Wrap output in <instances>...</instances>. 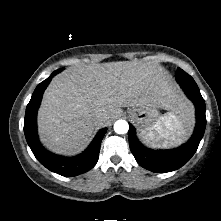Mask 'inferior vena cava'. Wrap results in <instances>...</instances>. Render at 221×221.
I'll list each match as a JSON object with an SVG mask.
<instances>
[{
	"label": "inferior vena cava",
	"instance_id": "602c4592",
	"mask_svg": "<svg viewBox=\"0 0 221 221\" xmlns=\"http://www.w3.org/2000/svg\"><path fill=\"white\" fill-rule=\"evenodd\" d=\"M105 115L103 113H98L95 115L96 122H102L105 120Z\"/></svg>",
	"mask_w": 221,
	"mask_h": 221
}]
</instances>
